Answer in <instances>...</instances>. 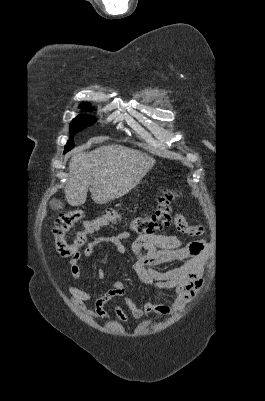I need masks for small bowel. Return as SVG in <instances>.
<instances>
[{
  "label": "small bowel",
  "mask_w": 265,
  "mask_h": 401,
  "mask_svg": "<svg viewBox=\"0 0 265 401\" xmlns=\"http://www.w3.org/2000/svg\"><path fill=\"white\" fill-rule=\"evenodd\" d=\"M176 229L187 235L197 236L204 231L202 226L190 225L182 213L174 217ZM129 239V233L122 231L117 235H102L89 241L85 247L80 248L70 257V273L76 281L81 280L80 263L83 259H91L96 245L102 242L110 243L117 252L125 253V242ZM131 250L135 256L133 269L138 278L144 284L157 289H174L177 294L175 303L172 306H163L149 301L139 306L133 298L127 297V286L121 281L113 283L110 289L91 294L85 290L68 284L67 288L74 302L80 310L92 319H110L105 310V305L115 297H124V304L135 319H140L148 314L167 315L181 310L197 294L203 283V275L207 263L208 248L203 239L186 242L173 235L150 234L139 235L131 244ZM182 261L183 264L177 268L160 271L155 266ZM98 277H105L104 270H98ZM94 302L93 310H88L85 303ZM114 313L116 318L123 324H127L129 317L120 304L115 305Z\"/></svg>",
  "instance_id": "c3829d8e"
}]
</instances>
